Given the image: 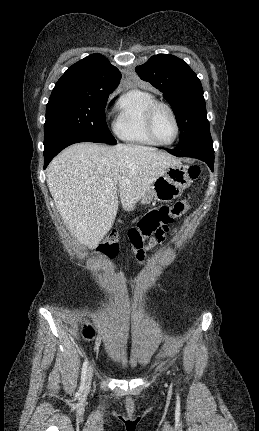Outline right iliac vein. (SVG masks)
<instances>
[{
  "label": "right iliac vein",
  "instance_id": "63e3f726",
  "mask_svg": "<svg viewBox=\"0 0 259 431\" xmlns=\"http://www.w3.org/2000/svg\"><path fill=\"white\" fill-rule=\"evenodd\" d=\"M92 377H93V368H92V366H90L88 368L86 379H85V385H86V387H88L90 385Z\"/></svg>",
  "mask_w": 259,
  "mask_h": 431
}]
</instances>
